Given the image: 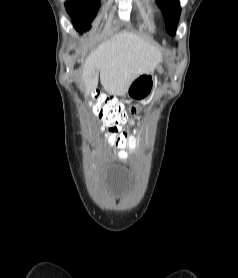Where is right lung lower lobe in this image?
Here are the masks:
<instances>
[{"mask_svg":"<svg viewBox=\"0 0 238 278\" xmlns=\"http://www.w3.org/2000/svg\"><path fill=\"white\" fill-rule=\"evenodd\" d=\"M74 20V23H76L77 22V20L76 19H73Z\"/></svg>","mask_w":238,"mask_h":278,"instance_id":"1","label":"right lung lower lobe"}]
</instances>
